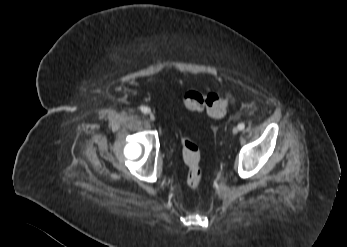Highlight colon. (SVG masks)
I'll return each mask as SVG.
<instances>
[{"label": "colon", "mask_w": 347, "mask_h": 247, "mask_svg": "<svg viewBox=\"0 0 347 247\" xmlns=\"http://www.w3.org/2000/svg\"><path fill=\"white\" fill-rule=\"evenodd\" d=\"M184 105L193 111L206 110L213 118H220L225 113L231 103L229 96H221L214 92L206 94L190 90L184 94ZM182 157L187 166V185L190 189L196 190L201 182V153L197 144L188 136H181Z\"/></svg>", "instance_id": "colon-1"}]
</instances>
